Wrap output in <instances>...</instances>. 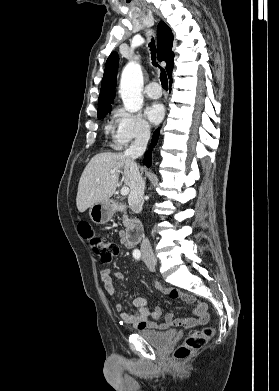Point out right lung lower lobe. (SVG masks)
<instances>
[{"instance_id": "1", "label": "right lung lower lobe", "mask_w": 279, "mask_h": 391, "mask_svg": "<svg viewBox=\"0 0 279 391\" xmlns=\"http://www.w3.org/2000/svg\"><path fill=\"white\" fill-rule=\"evenodd\" d=\"M171 83H172V79L170 80V84ZM158 137H159V129H157L155 131V133L153 135V138H152V142H151L150 148L144 155V157H145L144 164L147 165L148 167L151 166L152 150H153V148L155 147V145L157 143Z\"/></svg>"}]
</instances>
